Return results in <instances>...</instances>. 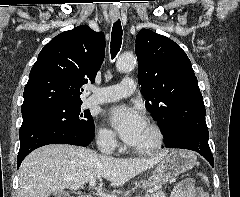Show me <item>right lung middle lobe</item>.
<instances>
[{"mask_svg":"<svg viewBox=\"0 0 240 197\" xmlns=\"http://www.w3.org/2000/svg\"><path fill=\"white\" fill-rule=\"evenodd\" d=\"M81 104L82 102L47 103L44 105L22 110V116L47 117L71 126L75 131L79 133L85 135L91 134L94 132V121L89 112H81Z\"/></svg>","mask_w":240,"mask_h":197,"instance_id":"right-lung-middle-lobe-1","label":"right lung middle lobe"}]
</instances>
